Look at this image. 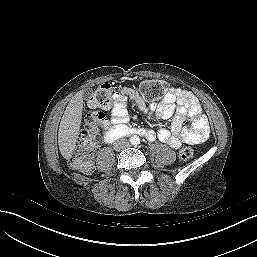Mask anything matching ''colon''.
Returning <instances> with one entry per match:
<instances>
[{
	"label": "colon",
	"mask_w": 257,
	"mask_h": 257,
	"mask_svg": "<svg viewBox=\"0 0 257 257\" xmlns=\"http://www.w3.org/2000/svg\"><path fill=\"white\" fill-rule=\"evenodd\" d=\"M167 90V84L160 80H146L140 85V93L147 102H155L163 97ZM114 89L108 85H102L92 94L88 100V106L93 110L85 127V136L82 144L73 154L70 165L82 172H89L92 168V155L94 154L95 138L101 127L106 122V116L101 110H109L114 102ZM180 159L187 161L194 156L191 147H185L180 151Z\"/></svg>",
	"instance_id": "5ec220e1"
}]
</instances>
